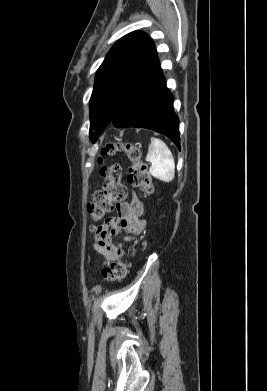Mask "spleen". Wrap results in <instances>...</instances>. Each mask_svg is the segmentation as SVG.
Instances as JSON below:
<instances>
[{"instance_id":"1","label":"spleen","mask_w":267,"mask_h":391,"mask_svg":"<svg viewBox=\"0 0 267 391\" xmlns=\"http://www.w3.org/2000/svg\"><path fill=\"white\" fill-rule=\"evenodd\" d=\"M147 159L151 162V175L163 182H171L175 174V162L168 146L162 140L152 137Z\"/></svg>"}]
</instances>
